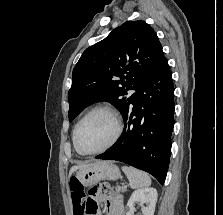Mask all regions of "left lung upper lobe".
<instances>
[{"mask_svg":"<svg viewBox=\"0 0 223 215\" xmlns=\"http://www.w3.org/2000/svg\"><path fill=\"white\" fill-rule=\"evenodd\" d=\"M164 59L156 32L144 21H127L115 28L87 48L73 69L69 121L99 101L110 102L124 115L135 96L127 98L126 91L137 90Z\"/></svg>","mask_w":223,"mask_h":215,"instance_id":"5c2ea615","label":"left lung upper lobe"}]
</instances>
